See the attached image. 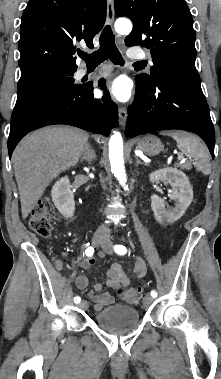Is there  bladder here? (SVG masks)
Instances as JSON below:
<instances>
[{"instance_id":"1","label":"bladder","mask_w":221,"mask_h":379,"mask_svg":"<svg viewBox=\"0 0 221 379\" xmlns=\"http://www.w3.org/2000/svg\"><path fill=\"white\" fill-rule=\"evenodd\" d=\"M94 322L106 332L120 335L139 324L140 313L134 307L114 304L97 312L94 315Z\"/></svg>"}]
</instances>
